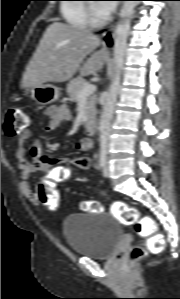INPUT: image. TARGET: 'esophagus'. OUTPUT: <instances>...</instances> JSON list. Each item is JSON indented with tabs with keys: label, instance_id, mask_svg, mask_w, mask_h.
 Here are the masks:
<instances>
[{
	"label": "esophagus",
	"instance_id": "1",
	"mask_svg": "<svg viewBox=\"0 0 180 299\" xmlns=\"http://www.w3.org/2000/svg\"><path fill=\"white\" fill-rule=\"evenodd\" d=\"M116 24L111 25L103 36V46L107 51H111L115 46Z\"/></svg>",
	"mask_w": 180,
	"mask_h": 299
}]
</instances>
